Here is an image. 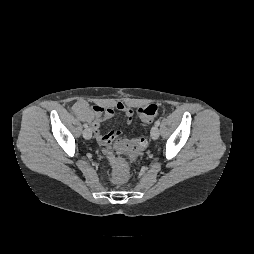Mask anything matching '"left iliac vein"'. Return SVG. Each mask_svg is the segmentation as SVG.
Listing matches in <instances>:
<instances>
[{
  "instance_id": "obj_1",
  "label": "left iliac vein",
  "mask_w": 254,
  "mask_h": 254,
  "mask_svg": "<svg viewBox=\"0 0 254 254\" xmlns=\"http://www.w3.org/2000/svg\"><path fill=\"white\" fill-rule=\"evenodd\" d=\"M150 134H151L152 139H154V140L158 139L159 134H160L158 126H156V125L153 126L151 128Z\"/></svg>"
}]
</instances>
